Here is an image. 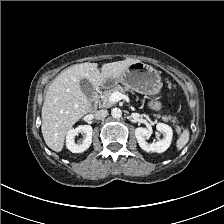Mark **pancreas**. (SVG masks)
<instances>
[{"label":"pancreas","mask_w":224,"mask_h":224,"mask_svg":"<svg viewBox=\"0 0 224 224\" xmlns=\"http://www.w3.org/2000/svg\"><path fill=\"white\" fill-rule=\"evenodd\" d=\"M132 92L130 91L129 88L127 87H122L121 85H116L110 89H107L105 90L104 92H102L100 95H99V98H100V101H101V105L102 107L104 108H109L113 105V102H111L109 100V97L110 95L113 93V92H120V93H125V92ZM133 93V92H132ZM160 117V115H158ZM162 119L163 121H171L173 122V124L177 127V130L179 129V127L175 124L176 123V119L171 117V116H162Z\"/></svg>","instance_id":"1"}]
</instances>
